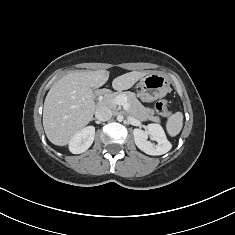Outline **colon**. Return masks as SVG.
Returning <instances> with one entry per match:
<instances>
[{
  "instance_id": "obj_1",
  "label": "colon",
  "mask_w": 235,
  "mask_h": 235,
  "mask_svg": "<svg viewBox=\"0 0 235 235\" xmlns=\"http://www.w3.org/2000/svg\"><path fill=\"white\" fill-rule=\"evenodd\" d=\"M155 108L157 110V112L163 116H169L170 112L168 109V102L165 99L159 100L156 105Z\"/></svg>"
}]
</instances>
